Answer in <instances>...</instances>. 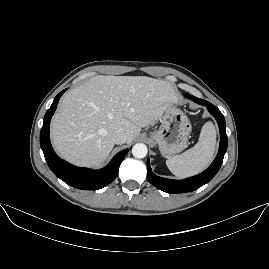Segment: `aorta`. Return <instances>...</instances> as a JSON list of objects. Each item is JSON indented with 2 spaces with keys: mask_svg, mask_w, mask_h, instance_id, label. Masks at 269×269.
Instances as JSON below:
<instances>
[{
  "mask_svg": "<svg viewBox=\"0 0 269 269\" xmlns=\"http://www.w3.org/2000/svg\"><path fill=\"white\" fill-rule=\"evenodd\" d=\"M147 146L143 143H137L132 148V154L136 158H144L147 155Z\"/></svg>",
  "mask_w": 269,
  "mask_h": 269,
  "instance_id": "762f6f07",
  "label": "aorta"
}]
</instances>
